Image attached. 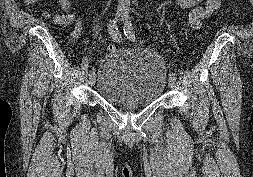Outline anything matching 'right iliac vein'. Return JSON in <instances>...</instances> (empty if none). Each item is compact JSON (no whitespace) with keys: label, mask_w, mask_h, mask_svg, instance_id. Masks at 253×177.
Masks as SVG:
<instances>
[{"label":"right iliac vein","mask_w":253,"mask_h":177,"mask_svg":"<svg viewBox=\"0 0 253 177\" xmlns=\"http://www.w3.org/2000/svg\"><path fill=\"white\" fill-rule=\"evenodd\" d=\"M125 12H126V11H125V9H123V8H120V9L117 10V17H118V19H119L120 21L124 19ZM95 80H96L95 74H92V75L89 76V84H90L91 86L94 85Z\"/></svg>","instance_id":"right-iliac-vein-1"}]
</instances>
